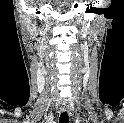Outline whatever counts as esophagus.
I'll return each instance as SVG.
<instances>
[{
	"instance_id": "esophagus-1",
	"label": "esophagus",
	"mask_w": 124,
	"mask_h": 123,
	"mask_svg": "<svg viewBox=\"0 0 124 123\" xmlns=\"http://www.w3.org/2000/svg\"><path fill=\"white\" fill-rule=\"evenodd\" d=\"M61 110H62L63 112H68L69 114H71V112H70V108H69V105L66 104V103L63 104Z\"/></svg>"
}]
</instances>
